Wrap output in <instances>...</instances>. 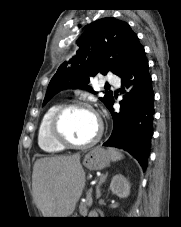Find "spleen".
<instances>
[{
  "label": "spleen",
  "instance_id": "1",
  "mask_svg": "<svg viewBox=\"0 0 181 227\" xmlns=\"http://www.w3.org/2000/svg\"><path fill=\"white\" fill-rule=\"evenodd\" d=\"M108 152L111 155V159L112 161H118L121 160L123 158V155L121 152H119L117 149L115 148H108Z\"/></svg>",
  "mask_w": 181,
  "mask_h": 227
}]
</instances>
